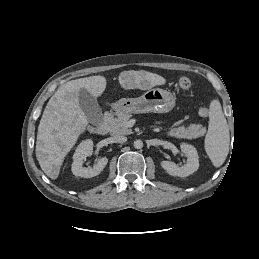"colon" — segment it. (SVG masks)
Instances as JSON below:
<instances>
[{
	"instance_id": "1",
	"label": "colon",
	"mask_w": 259,
	"mask_h": 259,
	"mask_svg": "<svg viewBox=\"0 0 259 259\" xmlns=\"http://www.w3.org/2000/svg\"><path fill=\"white\" fill-rule=\"evenodd\" d=\"M178 86L182 90H188L191 87V80L186 76H182L178 80ZM209 113H210V111L207 106H201L199 108V115L201 117H208Z\"/></svg>"
}]
</instances>
